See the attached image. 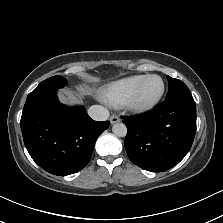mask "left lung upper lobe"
Instances as JSON below:
<instances>
[{"label":"left lung upper lobe","instance_id":"left-lung-upper-lobe-1","mask_svg":"<svg viewBox=\"0 0 223 223\" xmlns=\"http://www.w3.org/2000/svg\"><path fill=\"white\" fill-rule=\"evenodd\" d=\"M169 81V90L165 100L172 99H188L193 100V97L188 87L180 80L167 76Z\"/></svg>","mask_w":223,"mask_h":223}]
</instances>
